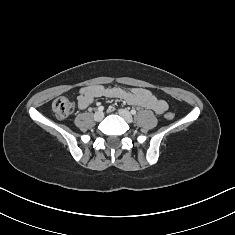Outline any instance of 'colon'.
I'll return each mask as SVG.
<instances>
[{"label": "colon", "instance_id": "obj_1", "mask_svg": "<svg viewBox=\"0 0 235 235\" xmlns=\"http://www.w3.org/2000/svg\"><path fill=\"white\" fill-rule=\"evenodd\" d=\"M52 110L58 119H66L73 111V105L66 97H58L53 101ZM165 117L169 120L174 118L172 112H167Z\"/></svg>", "mask_w": 235, "mask_h": 235}]
</instances>
